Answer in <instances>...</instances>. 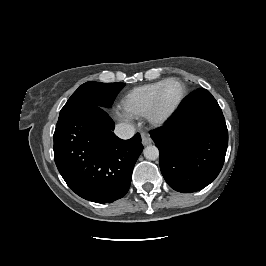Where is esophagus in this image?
<instances>
[{
	"instance_id": "34e87169",
	"label": "esophagus",
	"mask_w": 266,
	"mask_h": 266,
	"mask_svg": "<svg viewBox=\"0 0 266 266\" xmlns=\"http://www.w3.org/2000/svg\"><path fill=\"white\" fill-rule=\"evenodd\" d=\"M151 143H152V139L150 138V136L146 133H142V144L144 146H147Z\"/></svg>"
}]
</instances>
